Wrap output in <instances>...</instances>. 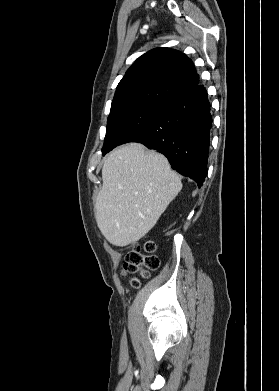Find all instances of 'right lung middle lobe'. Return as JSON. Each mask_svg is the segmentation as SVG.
<instances>
[{
    "label": "right lung middle lobe",
    "instance_id": "dd1d6c3e",
    "mask_svg": "<svg viewBox=\"0 0 279 391\" xmlns=\"http://www.w3.org/2000/svg\"><path fill=\"white\" fill-rule=\"evenodd\" d=\"M161 108L162 105L140 104L110 112L102 148L103 155L147 127Z\"/></svg>",
    "mask_w": 279,
    "mask_h": 391
}]
</instances>
